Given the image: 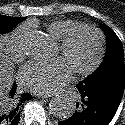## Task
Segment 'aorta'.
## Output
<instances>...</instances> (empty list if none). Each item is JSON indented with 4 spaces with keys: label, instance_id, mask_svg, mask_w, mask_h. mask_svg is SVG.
<instances>
[{
    "label": "aorta",
    "instance_id": "762f6f07",
    "mask_svg": "<svg viewBox=\"0 0 125 125\" xmlns=\"http://www.w3.org/2000/svg\"><path fill=\"white\" fill-rule=\"evenodd\" d=\"M29 54L39 60H45L51 57L54 43L44 33L37 32L29 40ZM50 111L58 118H69L75 111V103L72 98L65 95L54 97L49 104Z\"/></svg>",
    "mask_w": 125,
    "mask_h": 125
}]
</instances>
